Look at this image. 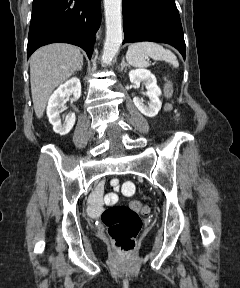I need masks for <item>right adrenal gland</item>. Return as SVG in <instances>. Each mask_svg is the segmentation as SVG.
I'll use <instances>...</instances> for the list:
<instances>
[{"label":"right adrenal gland","mask_w":240,"mask_h":288,"mask_svg":"<svg viewBox=\"0 0 240 288\" xmlns=\"http://www.w3.org/2000/svg\"><path fill=\"white\" fill-rule=\"evenodd\" d=\"M82 66H83V61L81 62L80 67L76 71H81L82 70Z\"/></svg>","instance_id":"1"}]
</instances>
